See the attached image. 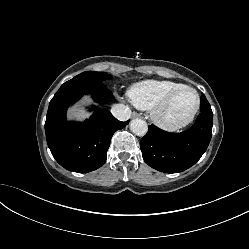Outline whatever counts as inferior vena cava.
Listing matches in <instances>:
<instances>
[{"label": "inferior vena cava", "mask_w": 249, "mask_h": 249, "mask_svg": "<svg viewBox=\"0 0 249 249\" xmlns=\"http://www.w3.org/2000/svg\"><path fill=\"white\" fill-rule=\"evenodd\" d=\"M112 115L120 121H126L131 116V110L124 104H116L111 108Z\"/></svg>", "instance_id": "602c4592"}]
</instances>
